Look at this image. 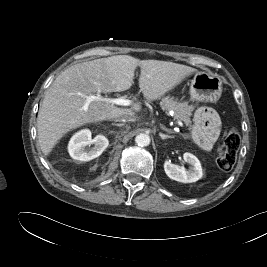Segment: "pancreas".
I'll return each mask as SVG.
<instances>
[{
	"instance_id": "obj_1",
	"label": "pancreas",
	"mask_w": 267,
	"mask_h": 267,
	"mask_svg": "<svg viewBox=\"0 0 267 267\" xmlns=\"http://www.w3.org/2000/svg\"><path fill=\"white\" fill-rule=\"evenodd\" d=\"M160 106L165 111L172 110L177 121H183L190 129L192 128L191 115L193 107L186 102H180L173 97L166 96L161 99Z\"/></svg>"
}]
</instances>
